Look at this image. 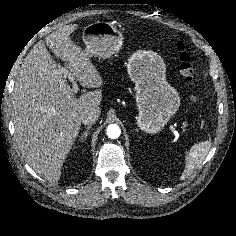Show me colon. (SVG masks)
<instances>
[{
    "mask_svg": "<svg viewBox=\"0 0 236 236\" xmlns=\"http://www.w3.org/2000/svg\"><path fill=\"white\" fill-rule=\"evenodd\" d=\"M178 50L180 52V73L190 85L196 83V69L191 56L185 51V46L183 44L178 45Z\"/></svg>",
    "mask_w": 236,
    "mask_h": 236,
    "instance_id": "5ec220e1",
    "label": "colon"
}]
</instances>
